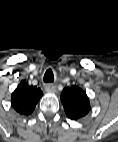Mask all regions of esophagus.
Segmentation results:
<instances>
[{
    "label": "esophagus",
    "mask_w": 118,
    "mask_h": 142,
    "mask_svg": "<svg viewBox=\"0 0 118 142\" xmlns=\"http://www.w3.org/2000/svg\"><path fill=\"white\" fill-rule=\"evenodd\" d=\"M45 90L47 92H55L56 91V85L48 83L45 85Z\"/></svg>",
    "instance_id": "obj_1"
}]
</instances>
